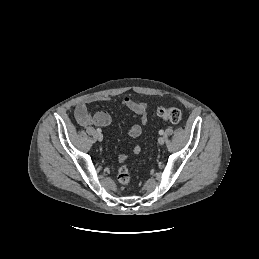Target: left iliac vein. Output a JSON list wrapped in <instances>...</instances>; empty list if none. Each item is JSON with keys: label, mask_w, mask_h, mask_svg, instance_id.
<instances>
[{"label": "left iliac vein", "mask_w": 259, "mask_h": 259, "mask_svg": "<svg viewBox=\"0 0 259 259\" xmlns=\"http://www.w3.org/2000/svg\"><path fill=\"white\" fill-rule=\"evenodd\" d=\"M164 142H165L164 137H159V138H158V143H159L160 145H163Z\"/></svg>", "instance_id": "obj_1"}]
</instances>
